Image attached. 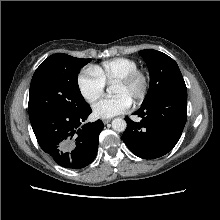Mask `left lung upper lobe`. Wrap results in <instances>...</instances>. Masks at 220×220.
I'll list each match as a JSON object with an SVG mask.
<instances>
[{
  "mask_svg": "<svg viewBox=\"0 0 220 220\" xmlns=\"http://www.w3.org/2000/svg\"><path fill=\"white\" fill-rule=\"evenodd\" d=\"M139 54L144 58L150 73L149 90L142 106L165 94L187 90L179 67L171 57L152 49L141 50Z\"/></svg>",
  "mask_w": 220,
  "mask_h": 220,
  "instance_id": "1",
  "label": "left lung upper lobe"
}]
</instances>
